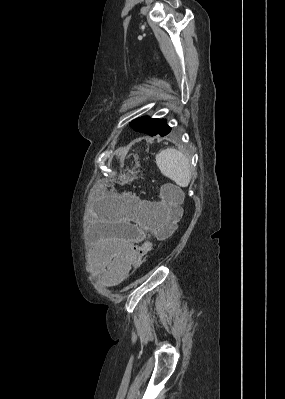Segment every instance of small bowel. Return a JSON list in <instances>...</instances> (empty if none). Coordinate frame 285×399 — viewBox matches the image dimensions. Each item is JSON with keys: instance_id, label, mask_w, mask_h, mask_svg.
<instances>
[{"instance_id": "obj_1", "label": "small bowel", "mask_w": 285, "mask_h": 399, "mask_svg": "<svg viewBox=\"0 0 285 399\" xmlns=\"http://www.w3.org/2000/svg\"><path fill=\"white\" fill-rule=\"evenodd\" d=\"M179 194L181 191L173 186ZM162 201L147 202L139 197H132L130 205L121 210L120 222L123 224L118 245L111 254V261L105 273L110 281L123 280L134 262V249L149 236L153 235L166 221V214L161 209Z\"/></svg>"}]
</instances>
